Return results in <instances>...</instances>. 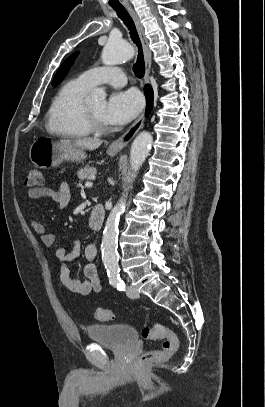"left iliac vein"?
Wrapping results in <instances>:
<instances>
[{"mask_svg":"<svg viewBox=\"0 0 265 407\" xmlns=\"http://www.w3.org/2000/svg\"><path fill=\"white\" fill-rule=\"evenodd\" d=\"M126 293L127 296L132 299H136L139 297L137 290L133 286H128Z\"/></svg>","mask_w":265,"mask_h":407,"instance_id":"obj_1","label":"left iliac vein"}]
</instances>
